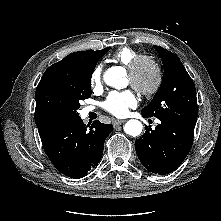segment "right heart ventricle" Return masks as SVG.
<instances>
[{
    "mask_svg": "<svg viewBox=\"0 0 221 221\" xmlns=\"http://www.w3.org/2000/svg\"><path fill=\"white\" fill-rule=\"evenodd\" d=\"M139 55V52L130 47L119 48L112 56L113 61L129 67L132 60Z\"/></svg>",
    "mask_w": 221,
    "mask_h": 221,
    "instance_id": "obj_1",
    "label": "right heart ventricle"
}]
</instances>
